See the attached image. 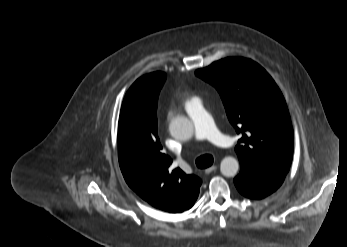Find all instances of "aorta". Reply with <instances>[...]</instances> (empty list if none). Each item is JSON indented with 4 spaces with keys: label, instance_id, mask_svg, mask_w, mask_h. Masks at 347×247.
Wrapping results in <instances>:
<instances>
[{
    "label": "aorta",
    "instance_id": "762f6f07",
    "mask_svg": "<svg viewBox=\"0 0 347 247\" xmlns=\"http://www.w3.org/2000/svg\"><path fill=\"white\" fill-rule=\"evenodd\" d=\"M170 134L178 139L186 141L193 135L192 122L183 116L174 118L169 125ZM239 170V162L232 156H226L223 158L220 164V171L222 175L226 177H234Z\"/></svg>",
    "mask_w": 347,
    "mask_h": 247
}]
</instances>
